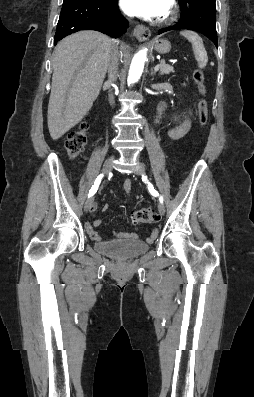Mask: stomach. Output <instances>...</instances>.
<instances>
[{
  "label": "stomach",
  "instance_id": "obj_1",
  "mask_svg": "<svg viewBox=\"0 0 254 397\" xmlns=\"http://www.w3.org/2000/svg\"><path fill=\"white\" fill-rule=\"evenodd\" d=\"M153 44H154V49L161 54L168 53L171 49L170 42L165 39H160V40L156 39Z\"/></svg>",
  "mask_w": 254,
  "mask_h": 397
}]
</instances>
